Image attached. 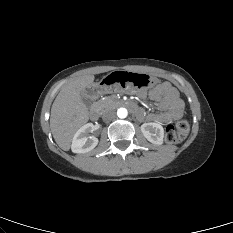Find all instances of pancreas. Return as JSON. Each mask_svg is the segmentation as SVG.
I'll return each mask as SVG.
<instances>
[{"label":"pancreas","mask_w":233,"mask_h":233,"mask_svg":"<svg viewBox=\"0 0 233 233\" xmlns=\"http://www.w3.org/2000/svg\"><path fill=\"white\" fill-rule=\"evenodd\" d=\"M96 106L103 112L115 109L118 106V100L114 96H106L97 101Z\"/></svg>","instance_id":"pancreas-1"}]
</instances>
